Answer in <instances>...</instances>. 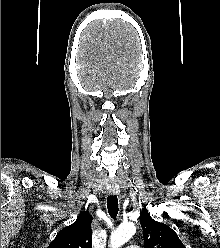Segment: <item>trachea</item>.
Segmentation results:
<instances>
[{
    "instance_id": "obj_1",
    "label": "trachea",
    "mask_w": 220,
    "mask_h": 248,
    "mask_svg": "<svg viewBox=\"0 0 220 248\" xmlns=\"http://www.w3.org/2000/svg\"><path fill=\"white\" fill-rule=\"evenodd\" d=\"M108 213L112 218H116L118 214V199L116 195H110L107 197Z\"/></svg>"
}]
</instances>
